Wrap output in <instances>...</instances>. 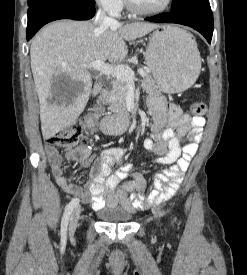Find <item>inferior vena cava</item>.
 I'll list each match as a JSON object with an SVG mask.
<instances>
[{"label": "inferior vena cava", "mask_w": 247, "mask_h": 275, "mask_svg": "<svg viewBox=\"0 0 247 275\" xmlns=\"http://www.w3.org/2000/svg\"><path fill=\"white\" fill-rule=\"evenodd\" d=\"M95 24L100 25L103 28L113 27L118 25L116 19L106 16L105 12L101 9L97 12L95 17Z\"/></svg>", "instance_id": "inferior-vena-cava-1"}]
</instances>
